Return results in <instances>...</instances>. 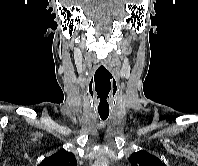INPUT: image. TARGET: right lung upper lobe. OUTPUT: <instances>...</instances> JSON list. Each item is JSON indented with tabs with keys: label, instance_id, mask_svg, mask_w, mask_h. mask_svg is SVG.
Segmentation results:
<instances>
[{
	"label": "right lung upper lobe",
	"instance_id": "1",
	"mask_svg": "<svg viewBox=\"0 0 198 166\" xmlns=\"http://www.w3.org/2000/svg\"><path fill=\"white\" fill-rule=\"evenodd\" d=\"M38 166H77V161L73 153L60 150L45 158Z\"/></svg>",
	"mask_w": 198,
	"mask_h": 166
}]
</instances>
